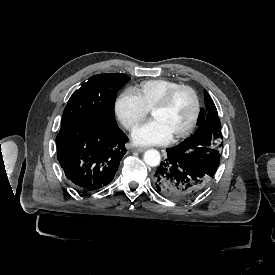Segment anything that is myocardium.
I'll list each match as a JSON object with an SVG mask.
<instances>
[{
  "label": "myocardium",
  "mask_w": 275,
  "mask_h": 275,
  "mask_svg": "<svg viewBox=\"0 0 275 275\" xmlns=\"http://www.w3.org/2000/svg\"><path fill=\"white\" fill-rule=\"evenodd\" d=\"M181 89H185V90L189 91L190 94L192 95V98L194 101V112H193L192 118L189 121V123L180 132H178L174 136L170 137L171 142L186 137L187 135L190 134V132L195 127V125L199 119L200 111H201L200 100H199L197 91L192 86H190L188 84H177V85L171 87L170 89H168L165 92V94L162 96V98L151 109V116H152L154 112L166 108L168 106V104L170 103L172 97L175 95V93Z\"/></svg>",
  "instance_id": "obj_1"
}]
</instances>
